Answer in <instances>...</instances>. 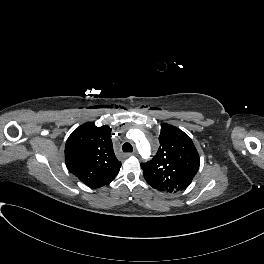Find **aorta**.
I'll list each match as a JSON object with an SVG mask.
<instances>
[{
    "label": "aorta",
    "mask_w": 264,
    "mask_h": 264,
    "mask_svg": "<svg viewBox=\"0 0 264 264\" xmlns=\"http://www.w3.org/2000/svg\"><path fill=\"white\" fill-rule=\"evenodd\" d=\"M136 142L142 153L148 156L150 154V148L148 142L144 138L137 139Z\"/></svg>",
    "instance_id": "1"
}]
</instances>
